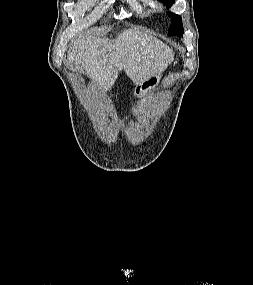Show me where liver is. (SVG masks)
<instances>
[{
    "instance_id": "obj_1",
    "label": "liver",
    "mask_w": 253,
    "mask_h": 285,
    "mask_svg": "<svg viewBox=\"0 0 253 285\" xmlns=\"http://www.w3.org/2000/svg\"><path fill=\"white\" fill-rule=\"evenodd\" d=\"M173 58L169 46L136 29H124L116 39H79L68 52V62L80 65L102 91L111 89L121 70L139 85L162 72Z\"/></svg>"
}]
</instances>
